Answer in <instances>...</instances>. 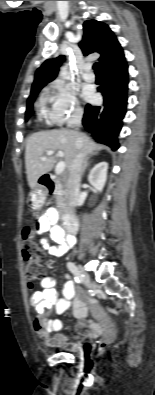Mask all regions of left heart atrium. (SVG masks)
<instances>
[{"label":"left heart atrium","instance_id":"left-heart-atrium-1","mask_svg":"<svg viewBox=\"0 0 155 395\" xmlns=\"http://www.w3.org/2000/svg\"><path fill=\"white\" fill-rule=\"evenodd\" d=\"M85 97H86L87 99H90V98H91V94H90V93H86V94H85Z\"/></svg>","mask_w":155,"mask_h":395}]
</instances>
